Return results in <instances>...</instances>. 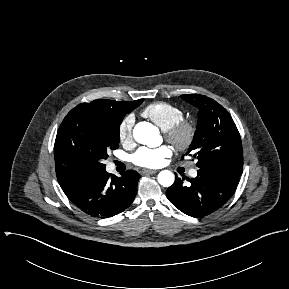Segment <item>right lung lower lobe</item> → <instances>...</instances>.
<instances>
[{"label": "right lung lower lobe", "instance_id": "98d812e1", "mask_svg": "<svg viewBox=\"0 0 289 289\" xmlns=\"http://www.w3.org/2000/svg\"><path fill=\"white\" fill-rule=\"evenodd\" d=\"M121 175L119 178L105 170L65 194L73 204L90 216L112 217L128 208L137 193L140 175L133 170Z\"/></svg>", "mask_w": 289, "mask_h": 289}]
</instances>
